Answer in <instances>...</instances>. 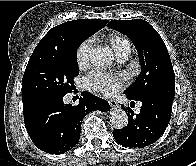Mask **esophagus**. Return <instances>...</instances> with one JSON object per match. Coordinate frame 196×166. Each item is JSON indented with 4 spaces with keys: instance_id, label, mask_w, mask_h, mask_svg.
Here are the masks:
<instances>
[{
    "instance_id": "1",
    "label": "esophagus",
    "mask_w": 196,
    "mask_h": 166,
    "mask_svg": "<svg viewBox=\"0 0 196 166\" xmlns=\"http://www.w3.org/2000/svg\"><path fill=\"white\" fill-rule=\"evenodd\" d=\"M108 102L112 109H117L119 107V104L114 99H110Z\"/></svg>"
}]
</instances>
